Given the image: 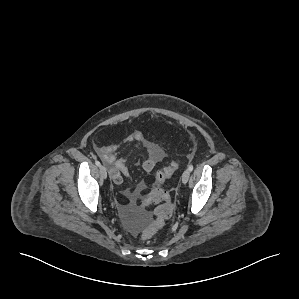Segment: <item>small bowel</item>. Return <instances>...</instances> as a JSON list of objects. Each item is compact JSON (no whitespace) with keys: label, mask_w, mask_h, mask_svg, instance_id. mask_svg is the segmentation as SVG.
I'll list each match as a JSON object with an SVG mask.
<instances>
[{"label":"small bowel","mask_w":299,"mask_h":299,"mask_svg":"<svg viewBox=\"0 0 299 299\" xmlns=\"http://www.w3.org/2000/svg\"><path fill=\"white\" fill-rule=\"evenodd\" d=\"M126 144L135 147H142L146 152V157L142 162V168L146 172H152L157 163L161 162L164 158L163 149L154 141L146 138L144 133L136 130L131 133L125 140ZM117 145H103L97 148L100 159L109 167V172L112 180L120 185L123 183V176L129 175L127 167V160L125 157L117 156ZM146 190L144 184H140L133 191H124L123 195L127 198L128 202L121 206L122 214L130 219L133 214L137 212L136 200L143 196Z\"/></svg>","instance_id":"small-bowel-1"}]
</instances>
